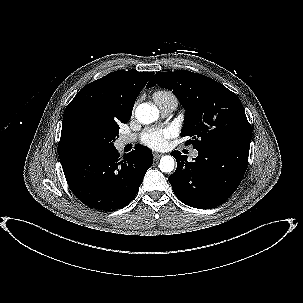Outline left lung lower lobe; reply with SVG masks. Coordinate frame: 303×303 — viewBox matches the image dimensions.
Wrapping results in <instances>:
<instances>
[{
	"mask_svg": "<svg viewBox=\"0 0 303 303\" xmlns=\"http://www.w3.org/2000/svg\"><path fill=\"white\" fill-rule=\"evenodd\" d=\"M188 162L179 151L171 153L177 161L176 171L169 182L177 198L184 204L200 208H214L228 199L245 174L249 147L206 145Z\"/></svg>",
	"mask_w": 303,
	"mask_h": 303,
	"instance_id": "1",
	"label": "left lung lower lobe"
}]
</instances>
